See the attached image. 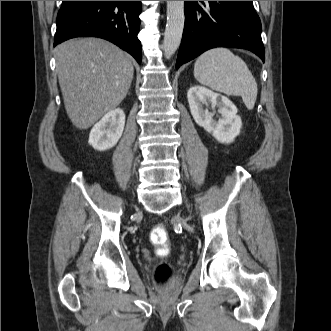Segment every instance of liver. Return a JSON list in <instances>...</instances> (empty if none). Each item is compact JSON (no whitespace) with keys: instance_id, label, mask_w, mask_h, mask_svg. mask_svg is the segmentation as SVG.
I'll return each instance as SVG.
<instances>
[{"instance_id":"liver-1","label":"liver","mask_w":331,"mask_h":331,"mask_svg":"<svg viewBox=\"0 0 331 331\" xmlns=\"http://www.w3.org/2000/svg\"><path fill=\"white\" fill-rule=\"evenodd\" d=\"M55 55L65 109L77 128L88 129L126 97L134 68L114 44L75 38L57 46Z\"/></svg>"}]
</instances>
